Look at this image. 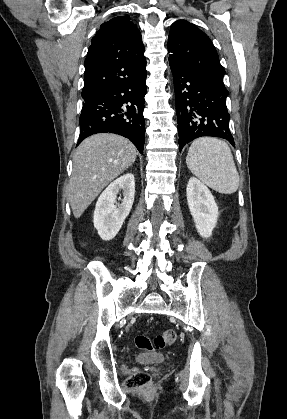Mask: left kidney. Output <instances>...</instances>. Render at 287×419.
<instances>
[{"label": "left kidney", "instance_id": "left-kidney-1", "mask_svg": "<svg viewBox=\"0 0 287 419\" xmlns=\"http://www.w3.org/2000/svg\"><path fill=\"white\" fill-rule=\"evenodd\" d=\"M187 201L195 227L204 238H209L217 224L218 206L210 190L197 178L191 177L187 184Z\"/></svg>", "mask_w": 287, "mask_h": 419}]
</instances>
